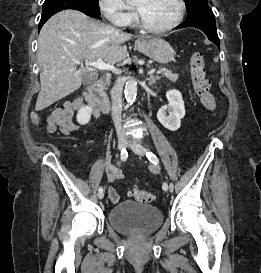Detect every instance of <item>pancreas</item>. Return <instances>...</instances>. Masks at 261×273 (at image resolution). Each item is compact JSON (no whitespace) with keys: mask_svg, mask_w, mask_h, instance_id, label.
Masks as SVG:
<instances>
[{"mask_svg":"<svg viewBox=\"0 0 261 273\" xmlns=\"http://www.w3.org/2000/svg\"><path fill=\"white\" fill-rule=\"evenodd\" d=\"M163 71V76H165L167 79H169L171 82H175L178 79L177 74H173L171 71L162 69Z\"/></svg>","mask_w":261,"mask_h":273,"instance_id":"obj_1","label":"pancreas"}]
</instances>
